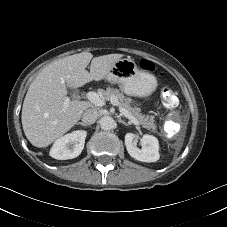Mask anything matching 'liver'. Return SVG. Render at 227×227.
<instances>
[{"instance_id": "1", "label": "liver", "mask_w": 227, "mask_h": 227, "mask_svg": "<svg viewBox=\"0 0 227 227\" xmlns=\"http://www.w3.org/2000/svg\"><path fill=\"white\" fill-rule=\"evenodd\" d=\"M122 57V54H108L93 58L91 53L82 52L46 66L29 86L23 102L21 120L29 142L44 148L69 131L92 104L69 100L64 108L67 87L78 88L105 79Z\"/></svg>"}]
</instances>
